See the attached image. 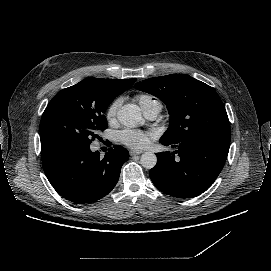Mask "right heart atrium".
Instances as JSON below:
<instances>
[{"mask_svg": "<svg viewBox=\"0 0 271 271\" xmlns=\"http://www.w3.org/2000/svg\"><path fill=\"white\" fill-rule=\"evenodd\" d=\"M123 102L122 96H117L106 108L105 117L108 122H111L117 114L119 107Z\"/></svg>", "mask_w": 271, "mask_h": 271, "instance_id": "d8ad5b80", "label": "right heart atrium"}]
</instances>
